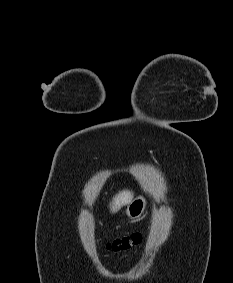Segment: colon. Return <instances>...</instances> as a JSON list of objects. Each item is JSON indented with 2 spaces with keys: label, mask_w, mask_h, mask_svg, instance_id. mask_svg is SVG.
<instances>
[{
  "label": "colon",
  "mask_w": 233,
  "mask_h": 283,
  "mask_svg": "<svg viewBox=\"0 0 233 283\" xmlns=\"http://www.w3.org/2000/svg\"><path fill=\"white\" fill-rule=\"evenodd\" d=\"M141 239L142 235L140 233H133L131 235L114 240L108 244V248L113 251L127 250L140 243Z\"/></svg>",
  "instance_id": "colon-1"
}]
</instances>
